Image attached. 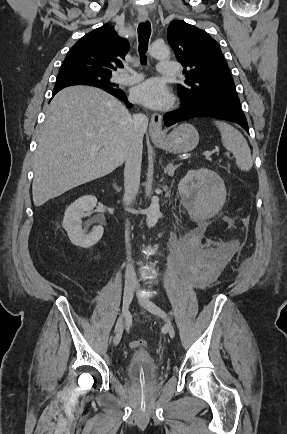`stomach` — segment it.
<instances>
[{
    "label": "stomach",
    "mask_w": 287,
    "mask_h": 434,
    "mask_svg": "<svg viewBox=\"0 0 287 434\" xmlns=\"http://www.w3.org/2000/svg\"><path fill=\"white\" fill-rule=\"evenodd\" d=\"M153 143L171 153H186L192 151L199 143V134L190 124L184 123L175 128L165 138Z\"/></svg>",
    "instance_id": "0dacf381"
}]
</instances>
